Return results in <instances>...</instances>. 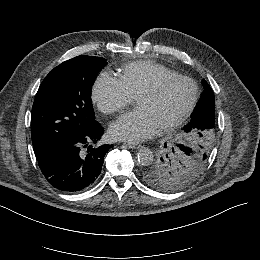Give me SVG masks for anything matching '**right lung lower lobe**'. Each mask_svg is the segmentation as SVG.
I'll use <instances>...</instances> for the list:
<instances>
[{"label": "right lung lower lobe", "mask_w": 260, "mask_h": 260, "mask_svg": "<svg viewBox=\"0 0 260 260\" xmlns=\"http://www.w3.org/2000/svg\"><path fill=\"white\" fill-rule=\"evenodd\" d=\"M104 133L96 122L87 136L36 157L47 181L58 190L79 192L99 177L104 156L113 145H95Z\"/></svg>", "instance_id": "98d812e1"}]
</instances>
